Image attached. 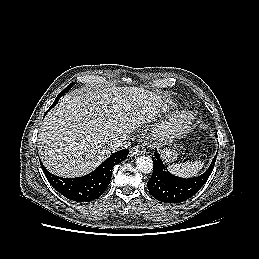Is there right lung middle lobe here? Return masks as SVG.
I'll list each match as a JSON object with an SVG mask.
<instances>
[{"instance_id": "right-lung-middle-lobe-1", "label": "right lung middle lobe", "mask_w": 259, "mask_h": 259, "mask_svg": "<svg viewBox=\"0 0 259 259\" xmlns=\"http://www.w3.org/2000/svg\"><path fill=\"white\" fill-rule=\"evenodd\" d=\"M73 84H74V83H71L70 85H68V86L61 92V94L64 95L65 93H67V92L71 89V87H72ZM52 107H53V105H52Z\"/></svg>"}]
</instances>
